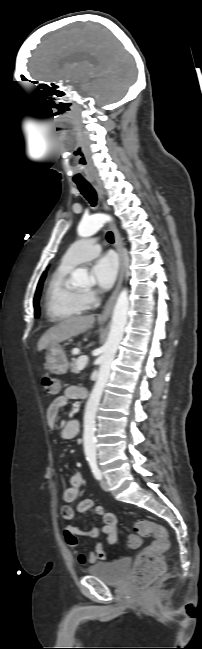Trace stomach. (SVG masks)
<instances>
[{"label":"stomach","mask_w":202,"mask_h":649,"mask_svg":"<svg viewBox=\"0 0 202 649\" xmlns=\"http://www.w3.org/2000/svg\"><path fill=\"white\" fill-rule=\"evenodd\" d=\"M45 358L51 373L61 375L67 372L69 364L62 346L56 344L48 348Z\"/></svg>","instance_id":"0dacf381"}]
</instances>
